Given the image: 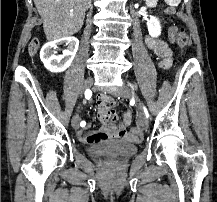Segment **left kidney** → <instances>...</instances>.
Wrapping results in <instances>:
<instances>
[{
    "label": "left kidney",
    "mask_w": 217,
    "mask_h": 202,
    "mask_svg": "<svg viewBox=\"0 0 217 202\" xmlns=\"http://www.w3.org/2000/svg\"><path fill=\"white\" fill-rule=\"evenodd\" d=\"M147 28L149 36H152V38H158V36H160L162 32L158 18H152V20H147Z\"/></svg>",
    "instance_id": "5707ae66"
}]
</instances>
